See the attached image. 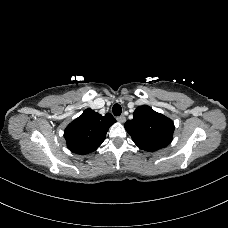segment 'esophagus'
Segmentation results:
<instances>
[{
	"mask_svg": "<svg viewBox=\"0 0 228 228\" xmlns=\"http://www.w3.org/2000/svg\"><path fill=\"white\" fill-rule=\"evenodd\" d=\"M117 121L120 123H124L126 121V118L124 115H121V116L117 117Z\"/></svg>",
	"mask_w": 228,
	"mask_h": 228,
	"instance_id": "esophagus-1",
	"label": "esophagus"
}]
</instances>
